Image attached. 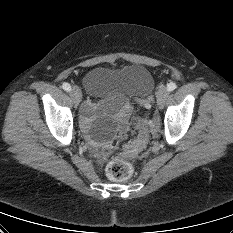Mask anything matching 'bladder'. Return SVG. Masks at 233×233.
<instances>
[{
  "mask_svg": "<svg viewBox=\"0 0 233 233\" xmlns=\"http://www.w3.org/2000/svg\"><path fill=\"white\" fill-rule=\"evenodd\" d=\"M83 85L89 95L115 102L145 100L153 92L155 81L146 67L132 64L121 68L95 67L86 73ZM100 129L105 131L107 124H102Z\"/></svg>",
  "mask_w": 233,
  "mask_h": 233,
  "instance_id": "1",
  "label": "bladder"
}]
</instances>
